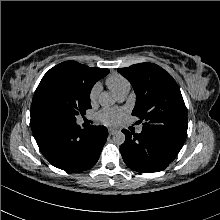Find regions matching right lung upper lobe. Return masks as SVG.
Listing matches in <instances>:
<instances>
[{
    "instance_id": "right-lung-upper-lobe-1",
    "label": "right lung upper lobe",
    "mask_w": 220,
    "mask_h": 220,
    "mask_svg": "<svg viewBox=\"0 0 220 220\" xmlns=\"http://www.w3.org/2000/svg\"><path fill=\"white\" fill-rule=\"evenodd\" d=\"M60 65H83V64H80L75 61H65L63 63H60ZM83 66L88 67L86 65H83ZM88 68H90L96 74V77L98 80L103 78L109 73V70L106 68H91V67H88ZM30 114H31V119L38 117L34 112H31Z\"/></svg>"
}]
</instances>
